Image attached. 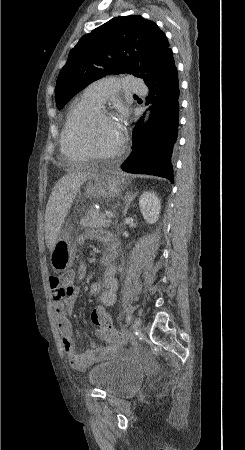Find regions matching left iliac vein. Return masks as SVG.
I'll return each mask as SVG.
<instances>
[{
	"instance_id": "4c4485c4",
	"label": "left iliac vein",
	"mask_w": 245,
	"mask_h": 450,
	"mask_svg": "<svg viewBox=\"0 0 245 450\" xmlns=\"http://www.w3.org/2000/svg\"><path fill=\"white\" fill-rule=\"evenodd\" d=\"M142 320L140 317H137L135 319V323H134V329L135 330H139L140 326H141Z\"/></svg>"
}]
</instances>
